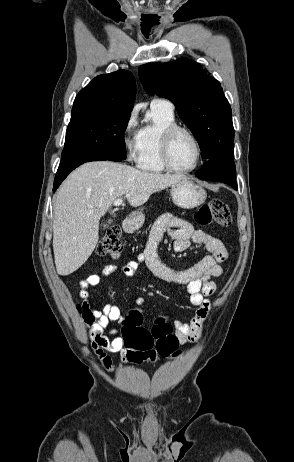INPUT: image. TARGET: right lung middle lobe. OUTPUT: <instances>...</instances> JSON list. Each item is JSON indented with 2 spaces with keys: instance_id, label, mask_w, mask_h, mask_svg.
Here are the masks:
<instances>
[{
  "instance_id": "1",
  "label": "right lung middle lobe",
  "mask_w": 294,
  "mask_h": 462,
  "mask_svg": "<svg viewBox=\"0 0 294 462\" xmlns=\"http://www.w3.org/2000/svg\"><path fill=\"white\" fill-rule=\"evenodd\" d=\"M130 115L112 109H72L59 168L94 160H124V132Z\"/></svg>"
}]
</instances>
